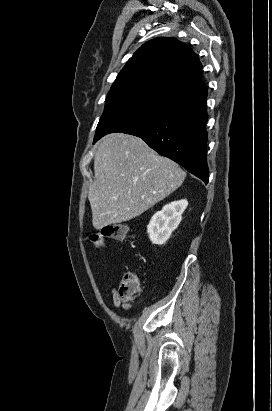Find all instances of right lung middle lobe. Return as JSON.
Returning a JSON list of instances; mask_svg holds the SVG:
<instances>
[{
	"mask_svg": "<svg viewBox=\"0 0 272 411\" xmlns=\"http://www.w3.org/2000/svg\"><path fill=\"white\" fill-rule=\"evenodd\" d=\"M96 137L111 132H127L177 109L178 103L163 100L143 90L109 92Z\"/></svg>",
	"mask_w": 272,
	"mask_h": 411,
	"instance_id": "1",
	"label": "right lung middle lobe"
}]
</instances>
